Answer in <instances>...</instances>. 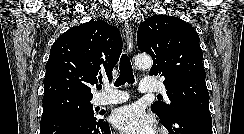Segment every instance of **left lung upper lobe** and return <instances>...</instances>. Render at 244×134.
<instances>
[{
  "mask_svg": "<svg viewBox=\"0 0 244 134\" xmlns=\"http://www.w3.org/2000/svg\"><path fill=\"white\" fill-rule=\"evenodd\" d=\"M137 45L153 59L150 75L164 76L171 101L155 102L151 109L167 119L179 108L190 107L209 112V93L202 64L199 36L185 21L166 15H153L139 25Z\"/></svg>",
  "mask_w": 244,
  "mask_h": 134,
  "instance_id": "left-lung-upper-lobe-1",
  "label": "left lung upper lobe"
}]
</instances>
